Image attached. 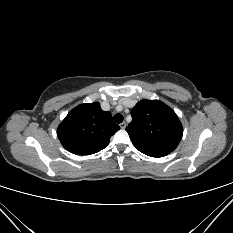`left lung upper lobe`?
<instances>
[{
	"instance_id": "left-lung-upper-lobe-1",
	"label": "left lung upper lobe",
	"mask_w": 233,
	"mask_h": 233,
	"mask_svg": "<svg viewBox=\"0 0 233 233\" xmlns=\"http://www.w3.org/2000/svg\"><path fill=\"white\" fill-rule=\"evenodd\" d=\"M126 131L134 146L151 157H163L179 144L183 127L175 112L158 100H141L131 111Z\"/></svg>"
}]
</instances>
